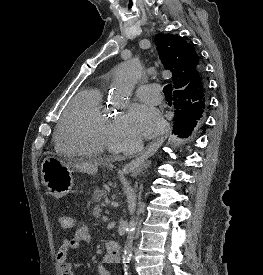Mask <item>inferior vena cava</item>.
Instances as JSON below:
<instances>
[{"label": "inferior vena cava", "mask_w": 263, "mask_h": 275, "mask_svg": "<svg viewBox=\"0 0 263 275\" xmlns=\"http://www.w3.org/2000/svg\"><path fill=\"white\" fill-rule=\"evenodd\" d=\"M143 148V143H142V140H139L136 144V148H135V151H139Z\"/></svg>", "instance_id": "obj_1"}]
</instances>
